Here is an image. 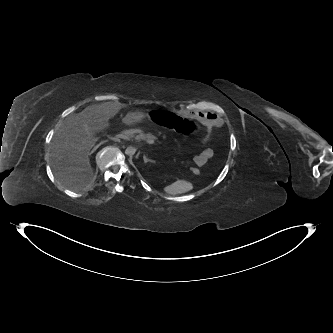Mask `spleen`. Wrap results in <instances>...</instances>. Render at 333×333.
Wrapping results in <instances>:
<instances>
[{"instance_id": "spleen-1", "label": "spleen", "mask_w": 333, "mask_h": 333, "mask_svg": "<svg viewBox=\"0 0 333 333\" xmlns=\"http://www.w3.org/2000/svg\"><path fill=\"white\" fill-rule=\"evenodd\" d=\"M193 189L192 183L185 180H177L174 183L166 186L164 191L170 195L183 194Z\"/></svg>"}]
</instances>
